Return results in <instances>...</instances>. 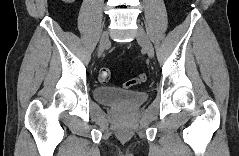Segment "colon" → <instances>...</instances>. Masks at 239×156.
<instances>
[{
  "label": "colon",
  "mask_w": 239,
  "mask_h": 156,
  "mask_svg": "<svg viewBox=\"0 0 239 156\" xmlns=\"http://www.w3.org/2000/svg\"><path fill=\"white\" fill-rule=\"evenodd\" d=\"M110 77H111V71H110L109 68H102L100 70V73H99V80H100V82L106 83V82L109 81ZM146 79H147L146 75L145 74H141L137 78L130 79V80L126 81L124 83V87L125 88H131V87L137 86V85L145 82Z\"/></svg>",
  "instance_id": "obj_1"
}]
</instances>
